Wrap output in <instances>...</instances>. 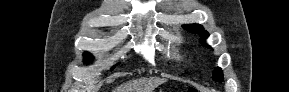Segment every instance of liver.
I'll list each match as a JSON object with an SVG mask.
<instances>
[{"label":"liver","mask_w":289,"mask_h":92,"mask_svg":"<svg viewBox=\"0 0 289 92\" xmlns=\"http://www.w3.org/2000/svg\"><path fill=\"white\" fill-rule=\"evenodd\" d=\"M165 82L167 79L160 77L142 78L118 87L115 92H153L156 87Z\"/></svg>","instance_id":"obj_1"}]
</instances>
